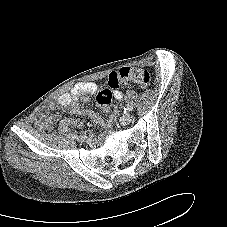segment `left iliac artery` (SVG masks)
Wrapping results in <instances>:
<instances>
[{"label": "left iliac artery", "mask_w": 227, "mask_h": 227, "mask_svg": "<svg viewBox=\"0 0 227 227\" xmlns=\"http://www.w3.org/2000/svg\"><path fill=\"white\" fill-rule=\"evenodd\" d=\"M125 111H128V112H130V111H132L133 110V106L132 105H130V104H128L125 108Z\"/></svg>", "instance_id": "left-iliac-artery-1"}]
</instances>
